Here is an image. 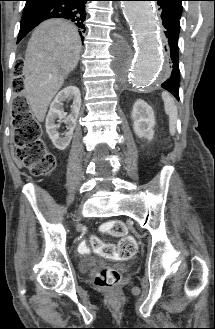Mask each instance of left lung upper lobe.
Returning a JSON list of instances; mask_svg holds the SVG:
<instances>
[{"label": "left lung upper lobe", "mask_w": 215, "mask_h": 329, "mask_svg": "<svg viewBox=\"0 0 215 329\" xmlns=\"http://www.w3.org/2000/svg\"><path fill=\"white\" fill-rule=\"evenodd\" d=\"M172 5H174L176 8H178L180 11H182V1L184 0H167Z\"/></svg>", "instance_id": "5c2ea615"}]
</instances>
